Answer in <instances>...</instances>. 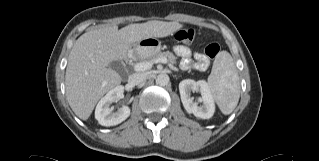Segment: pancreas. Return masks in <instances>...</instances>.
<instances>
[{"label":"pancreas","mask_w":319,"mask_h":161,"mask_svg":"<svg viewBox=\"0 0 319 161\" xmlns=\"http://www.w3.org/2000/svg\"><path fill=\"white\" fill-rule=\"evenodd\" d=\"M158 58H167V60L172 65L176 63V59H177V57L173 53L166 51V52H159V53L155 54L154 56L150 57L149 60H150V62H154V60L158 59Z\"/></svg>","instance_id":"pancreas-1"}]
</instances>
